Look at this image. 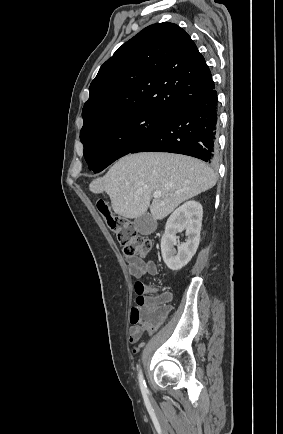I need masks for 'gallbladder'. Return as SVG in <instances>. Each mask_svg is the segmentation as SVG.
<instances>
[{
  "mask_svg": "<svg viewBox=\"0 0 283 434\" xmlns=\"http://www.w3.org/2000/svg\"><path fill=\"white\" fill-rule=\"evenodd\" d=\"M133 224L135 230L142 235L151 234L157 226L156 221L149 213H145L142 216L136 218Z\"/></svg>",
  "mask_w": 283,
  "mask_h": 434,
  "instance_id": "gallbladder-1",
  "label": "gallbladder"
}]
</instances>
